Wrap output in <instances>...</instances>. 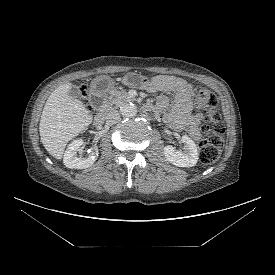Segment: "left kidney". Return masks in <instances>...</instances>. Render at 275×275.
Masks as SVG:
<instances>
[{
    "label": "left kidney",
    "mask_w": 275,
    "mask_h": 275,
    "mask_svg": "<svg viewBox=\"0 0 275 275\" xmlns=\"http://www.w3.org/2000/svg\"><path fill=\"white\" fill-rule=\"evenodd\" d=\"M181 141L185 144V150L182 152L171 145H167L164 147L165 158L178 167L195 166L198 161V151L195 142L186 135L182 136Z\"/></svg>",
    "instance_id": "5707ae66"
}]
</instances>
